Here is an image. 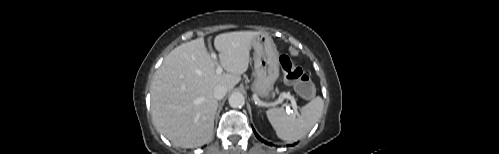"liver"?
Listing matches in <instances>:
<instances>
[{"label": "liver", "mask_w": 499, "mask_h": 154, "mask_svg": "<svg viewBox=\"0 0 499 154\" xmlns=\"http://www.w3.org/2000/svg\"><path fill=\"white\" fill-rule=\"evenodd\" d=\"M262 32L237 31L215 36L217 74L203 38L173 49L157 70L151 86V113L155 127L174 145L202 146L213 137L218 107L213 95L218 84L234 88L250 61L252 40Z\"/></svg>", "instance_id": "1"}]
</instances>
